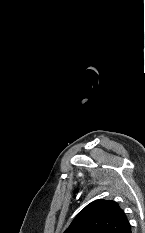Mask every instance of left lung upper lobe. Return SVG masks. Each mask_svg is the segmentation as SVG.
<instances>
[{
  "mask_svg": "<svg viewBox=\"0 0 145 233\" xmlns=\"http://www.w3.org/2000/svg\"><path fill=\"white\" fill-rule=\"evenodd\" d=\"M64 233H131V225L118 203L99 199L88 204Z\"/></svg>",
  "mask_w": 145,
  "mask_h": 233,
  "instance_id": "5c2ea615",
  "label": "left lung upper lobe"
}]
</instances>
